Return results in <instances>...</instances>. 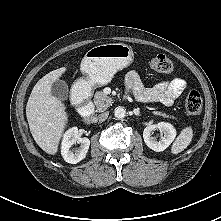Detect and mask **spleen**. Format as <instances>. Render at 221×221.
I'll return each instance as SVG.
<instances>
[{"label":"spleen","mask_w":221,"mask_h":221,"mask_svg":"<svg viewBox=\"0 0 221 221\" xmlns=\"http://www.w3.org/2000/svg\"><path fill=\"white\" fill-rule=\"evenodd\" d=\"M193 137V130L191 127L184 128L171 147L173 154L182 152L191 143Z\"/></svg>","instance_id":"obj_1"}]
</instances>
